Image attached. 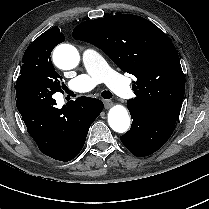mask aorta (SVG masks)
I'll return each instance as SVG.
<instances>
[{
    "mask_svg": "<svg viewBox=\"0 0 209 209\" xmlns=\"http://www.w3.org/2000/svg\"><path fill=\"white\" fill-rule=\"evenodd\" d=\"M53 60L57 67L68 70L78 65L80 55L74 46L61 44L55 48ZM108 123L115 132H126L130 127V116L127 109L122 105L113 106L108 112Z\"/></svg>",
    "mask_w": 209,
    "mask_h": 209,
    "instance_id": "obj_1",
    "label": "aorta"
}]
</instances>
